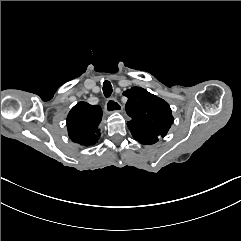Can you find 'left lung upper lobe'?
<instances>
[{"mask_svg":"<svg viewBox=\"0 0 241 241\" xmlns=\"http://www.w3.org/2000/svg\"><path fill=\"white\" fill-rule=\"evenodd\" d=\"M123 94L128 98L125 109L131 117L127 125L135 140L151 145L167 134L173 116L166 101L140 87Z\"/></svg>","mask_w":241,"mask_h":241,"instance_id":"5c2ea615","label":"left lung upper lobe"}]
</instances>
